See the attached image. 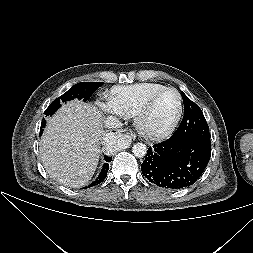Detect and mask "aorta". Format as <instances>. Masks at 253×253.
Listing matches in <instances>:
<instances>
[{
    "label": "aorta",
    "mask_w": 253,
    "mask_h": 253,
    "mask_svg": "<svg viewBox=\"0 0 253 253\" xmlns=\"http://www.w3.org/2000/svg\"><path fill=\"white\" fill-rule=\"evenodd\" d=\"M114 149H117V146H113ZM133 154L138 158H143L147 153L146 145L142 143H136L132 147Z\"/></svg>",
    "instance_id": "1"
}]
</instances>
